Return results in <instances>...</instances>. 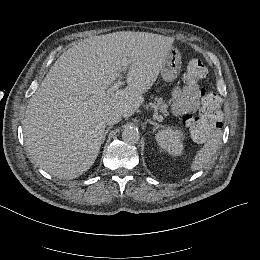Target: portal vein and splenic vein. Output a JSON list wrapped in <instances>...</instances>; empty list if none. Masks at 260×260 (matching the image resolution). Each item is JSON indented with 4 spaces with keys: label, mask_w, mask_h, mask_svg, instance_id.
<instances>
[{
    "label": "portal vein and splenic vein",
    "mask_w": 260,
    "mask_h": 260,
    "mask_svg": "<svg viewBox=\"0 0 260 260\" xmlns=\"http://www.w3.org/2000/svg\"><path fill=\"white\" fill-rule=\"evenodd\" d=\"M129 63L130 62L127 59H124L122 61L123 68H126L129 65ZM122 84H123V82L118 80L110 88L107 89V91H106L107 95L112 96L114 94V92L117 91ZM156 120L160 121V123H163L162 115L158 114L156 117Z\"/></svg>",
    "instance_id": "obj_1"
}]
</instances>
